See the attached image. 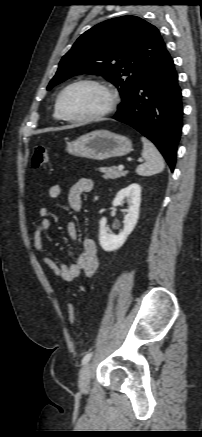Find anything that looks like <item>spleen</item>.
I'll use <instances>...</instances> for the list:
<instances>
[{
  "label": "spleen",
  "instance_id": "obj_1",
  "mask_svg": "<svg viewBox=\"0 0 202 437\" xmlns=\"http://www.w3.org/2000/svg\"><path fill=\"white\" fill-rule=\"evenodd\" d=\"M143 143L142 157L145 163L136 168V173L140 176H151L164 170L165 164L160 152L147 138L142 137Z\"/></svg>",
  "mask_w": 202,
  "mask_h": 437
}]
</instances>
